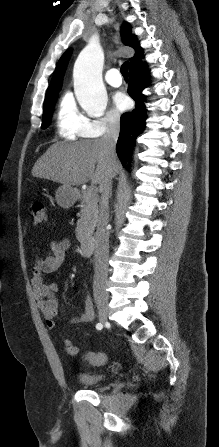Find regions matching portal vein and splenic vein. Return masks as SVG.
<instances>
[{
  "label": "portal vein and splenic vein",
  "instance_id": "obj_1",
  "mask_svg": "<svg viewBox=\"0 0 219 447\" xmlns=\"http://www.w3.org/2000/svg\"><path fill=\"white\" fill-rule=\"evenodd\" d=\"M87 191H88L89 196L96 195V193H97L95 187H90Z\"/></svg>",
  "mask_w": 219,
  "mask_h": 447
}]
</instances>
